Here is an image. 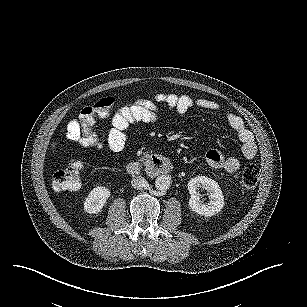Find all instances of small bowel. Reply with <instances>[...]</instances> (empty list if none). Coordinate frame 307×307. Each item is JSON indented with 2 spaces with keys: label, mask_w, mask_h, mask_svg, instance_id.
Here are the masks:
<instances>
[{
  "label": "small bowel",
  "mask_w": 307,
  "mask_h": 307,
  "mask_svg": "<svg viewBox=\"0 0 307 307\" xmlns=\"http://www.w3.org/2000/svg\"><path fill=\"white\" fill-rule=\"evenodd\" d=\"M156 102L163 103L166 110L173 115H184L193 107L206 111H217L219 105L209 99H194L189 95L175 93H159L153 99H137L130 105L121 107L111 116V126L107 133V145L115 152L121 151L127 142V130L132 124L154 123L158 118ZM229 126L236 132L242 143V153L247 159H252L257 153V146L252 132L245 126L242 118L234 113H227ZM67 138L71 141L80 140V126L72 120L67 126ZM206 161L212 168L236 172L240 169V161L233 156H224L216 149L206 153Z\"/></svg>",
  "instance_id": "obj_1"
}]
</instances>
